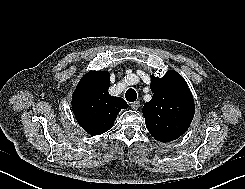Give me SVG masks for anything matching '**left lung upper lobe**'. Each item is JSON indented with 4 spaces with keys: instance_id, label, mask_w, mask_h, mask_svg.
<instances>
[{
    "instance_id": "5c2ea615",
    "label": "left lung upper lobe",
    "mask_w": 245,
    "mask_h": 189,
    "mask_svg": "<svg viewBox=\"0 0 245 189\" xmlns=\"http://www.w3.org/2000/svg\"><path fill=\"white\" fill-rule=\"evenodd\" d=\"M152 99L142 109L148 131L160 142H170L189 128L194 99L185 80L174 70L159 78L151 76Z\"/></svg>"
}]
</instances>
